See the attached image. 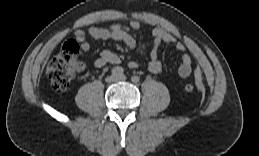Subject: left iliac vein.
Here are the masks:
<instances>
[{"instance_id":"left-iliac-vein-1","label":"left iliac vein","mask_w":259,"mask_h":156,"mask_svg":"<svg viewBox=\"0 0 259 156\" xmlns=\"http://www.w3.org/2000/svg\"><path fill=\"white\" fill-rule=\"evenodd\" d=\"M126 80V76L125 75H120L117 77V81H125Z\"/></svg>"}]
</instances>
